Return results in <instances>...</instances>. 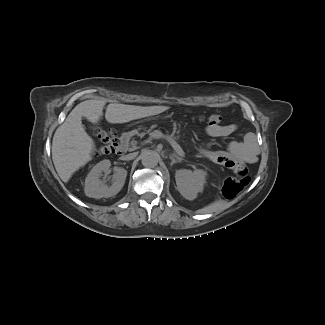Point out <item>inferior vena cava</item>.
<instances>
[{
    "instance_id": "obj_1",
    "label": "inferior vena cava",
    "mask_w": 325,
    "mask_h": 325,
    "mask_svg": "<svg viewBox=\"0 0 325 325\" xmlns=\"http://www.w3.org/2000/svg\"><path fill=\"white\" fill-rule=\"evenodd\" d=\"M136 157V154L135 153H130L128 155H125V156H122L121 159L122 160H132Z\"/></svg>"
}]
</instances>
